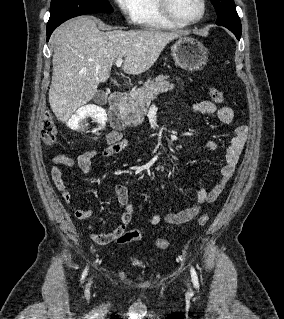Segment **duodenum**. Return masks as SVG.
Segmentation results:
<instances>
[{"instance_id": "1", "label": "duodenum", "mask_w": 284, "mask_h": 319, "mask_svg": "<svg viewBox=\"0 0 284 319\" xmlns=\"http://www.w3.org/2000/svg\"><path fill=\"white\" fill-rule=\"evenodd\" d=\"M125 101L126 95L122 91H114L109 97V121L111 126L118 131H122L126 127V122L121 112Z\"/></svg>"}]
</instances>
